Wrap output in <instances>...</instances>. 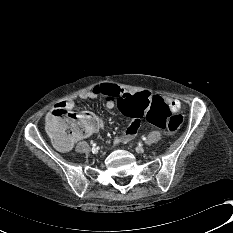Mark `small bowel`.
<instances>
[{"label": "small bowel", "mask_w": 233, "mask_h": 233, "mask_svg": "<svg viewBox=\"0 0 233 233\" xmlns=\"http://www.w3.org/2000/svg\"><path fill=\"white\" fill-rule=\"evenodd\" d=\"M126 92L127 91L123 90L117 84L103 83V84L93 88L90 91L82 93L80 95V98L84 99V100H88V99H95V98L103 95V96H105L106 107L108 109H112L116 105V101H115L116 98H119L123 93H126ZM162 100L167 106L176 102L180 107L179 102L172 99V98L163 97ZM63 104L70 109L74 108V101L72 99L65 100V102ZM140 124H141L140 117H138V118L130 117V121H129V125H128L127 129L115 138V142L116 143H127V142L131 141L132 139H134L138 134ZM77 140H79V139L64 140L62 138H54L56 147L61 151H68L69 149H71V147L73 146V144Z\"/></svg>", "instance_id": "1"}]
</instances>
